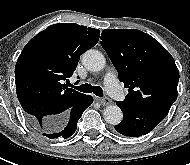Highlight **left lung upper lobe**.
<instances>
[{
  "label": "left lung upper lobe",
  "instance_id": "left-lung-upper-lobe-1",
  "mask_svg": "<svg viewBox=\"0 0 190 165\" xmlns=\"http://www.w3.org/2000/svg\"><path fill=\"white\" fill-rule=\"evenodd\" d=\"M101 45L128 88L119 103L167 115L177 99L179 71L171 54L153 37L136 29H105Z\"/></svg>",
  "mask_w": 190,
  "mask_h": 165
}]
</instances>
